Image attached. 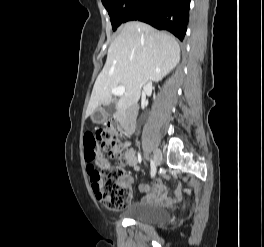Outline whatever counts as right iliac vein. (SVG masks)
Here are the masks:
<instances>
[{"label":"right iliac vein","mask_w":264,"mask_h":247,"mask_svg":"<svg viewBox=\"0 0 264 247\" xmlns=\"http://www.w3.org/2000/svg\"><path fill=\"white\" fill-rule=\"evenodd\" d=\"M153 157L154 163L158 166L162 160V154L159 149H155Z\"/></svg>","instance_id":"63e3f726"}]
</instances>
